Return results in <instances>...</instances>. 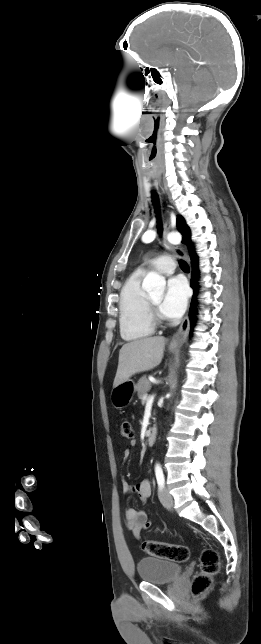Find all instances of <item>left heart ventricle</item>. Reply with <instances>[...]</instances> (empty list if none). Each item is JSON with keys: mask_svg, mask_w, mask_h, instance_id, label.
Returning a JSON list of instances; mask_svg holds the SVG:
<instances>
[{"mask_svg": "<svg viewBox=\"0 0 261 644\" xmlns=\"http://www.w3.org/2000/svg\"><path fill=\"white\" fill-rule=\"evenodd\" d=\"M162 299H163L162 294H158V295L151 296V300H152V301H153V303L158 307V309H159L160 313H161V310H160V304H161V302H162ZM161 314H162V313H161ZM162 315H163V314H162Z\"/></svg>", "mask_w": 261, "mask_h": 644, "instance_id": "b2bd125f", "label": "left heart ventricle"}]
</instances>
